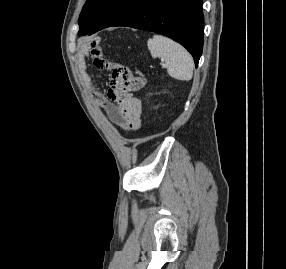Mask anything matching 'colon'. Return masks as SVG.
<instances>
[{
  "instance_id": "obj_1",
  "label": "colon",
  "mask_w": 286,
  "mask_h": 269,
  "mask_svg": "<svg viewBox=\"0 0 286 269\" xmlns=\"http://www.w3.org/2000/svg\"><path fill=\"white\" fill-rule=\"evenodd\" d=\"M110 71L111 83L116 91L123 95V110H144L143 100H140L139 91H143V83H147V78H135L137 76L127 68L126 65L113 63ZM116 64V66H114Z\"/></svg>"
}]
</instances>
